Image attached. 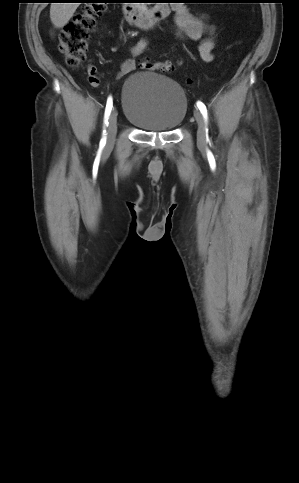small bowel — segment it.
<instances>
[{"label": "small bowel", "mask_w": 299, "mask_h": 483, "mask_svg": "<svg viewBox=\"0 0 299 483\" xmlns=\"http://www.w3.org/2000/svg\"><path fill=\"white\" fill-rule=\"evenodd\" d=\"M174 33L181 39H190L198 41L204 38L199 46V53L204 62H211L213 60L214 40L212 35L215 28L209 26L206 18L202 14H193L183 4L174 6ZM148 45L145 38L140 39L135 45L131 46L130 53L132 57L141 55ZM135 68V61L130 58L122 63L118 72V77H122ZM88 75L93 78L92 85L98 83L97 69L94 66L88 67Z\"/></svg>", "instance_id": "small-bowel-1"}]
</instances>
